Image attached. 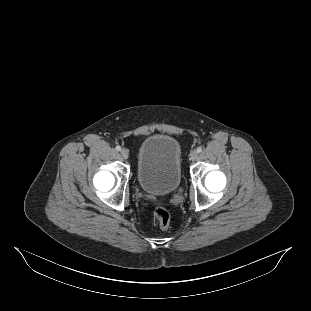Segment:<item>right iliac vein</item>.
Returning a JSON list of instances; mask_svg holds the SVG:
<instances>
[{"label":"right iliac vein","instance_id":"right-iliac-vein-1","mask_svg":"<svg viewBox=\"0 0 311 311\" xmlns=\"http://www.w3.org/2000/svg\"><path fill=\"white\" fill-rule=\"evenodd\" d=\"M120 153H121V156H122L124 159H127L128 156H129V153H128V151H127L126 149H122V150L120 151Z\"/></svg>","mask_w":311,"mask_h":311}]
</instances>
